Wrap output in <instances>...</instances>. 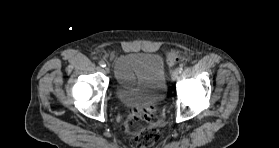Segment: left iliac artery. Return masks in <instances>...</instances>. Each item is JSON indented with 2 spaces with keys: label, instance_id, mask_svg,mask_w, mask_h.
Wrapping results in <instances>:
<instances>
[{
  "label": "left iliac artery",
  "instance_id": "44dca946",
  "mask_svg": "<svg viewBox=\"0 0 279 148\" xmlns=\"http://www.w3.org/2000/svg\"><path fill=\"white\" fill-rule=\"evenodd\" d=\"M177 70H178L179 73H182L183 68H182V67H179Z\"/></svg>",
  "mask_w": 279,
  "mask_h": 148
}]
</instances>
